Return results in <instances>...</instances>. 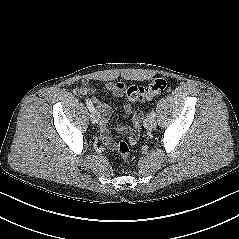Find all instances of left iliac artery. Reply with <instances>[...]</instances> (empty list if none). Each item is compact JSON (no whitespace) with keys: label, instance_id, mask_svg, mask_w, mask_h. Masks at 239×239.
<instances>
[{"label":"left iliac artery","instance_id":"obj_1","mask_svg":"<svg viewBox=\"0 0 239 239\" xmlns=\"http://www.w3.org/2000/svg\"><path fill=\"white\" fill-rule=\"evenodd\" d=\"M150 116H152L153 118H155V116H156V113H155V111H154V110H152V111H151V113H150Z\"/></svg>","mask_w":239,"mask_h":239}]
</instances>
